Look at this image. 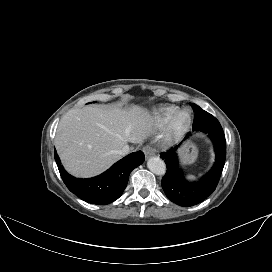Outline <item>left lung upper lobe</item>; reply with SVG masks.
Instances as JSON below:
<instances>
[{"label": "left lung upper lobe", "mask_w": 272, "mask_h": 272, "mask_svg": "<svg viewBox=\"0 0 272 272\" xmlns=\"http://www.w3.org/2000/svg\"><path fill=\"white\" fill-rule=\"evenodd\" d=\"M190 105L192 106V108L195 112L192 129H196L198 127H201V126L216 119L214 116H212L208 112L201 109L198 105H196L194 103H190Z\"/></svg>", "instance_id": "left-lung-upper-lobe-1"}]
</instances>
